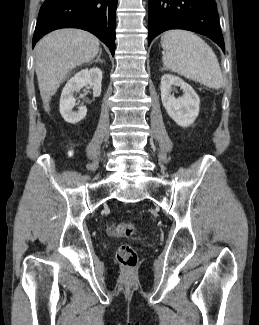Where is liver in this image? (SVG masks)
I'll list each match as a JSON object with an SVG mask.
<instances>
[{
  "mask_svg": "<svg viewBox=\"0 0 259 325\" xmlns=\"http://www.w3.org/2000/svg\"><path fill=\"white\" fill-rule=\"evenodd\" d=\"M99 40L80 29H60L36 45L35 70L45 111L66 74L93 60L99 51Z\"/></svg>",
  "mask_w": 259,
  "mask_h": 325,
  "instance_id": "liver-1",
  "label": "liver"
}]
</instances>
